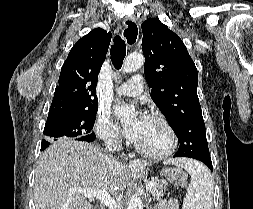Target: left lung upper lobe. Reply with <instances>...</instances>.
Segmentation results:
<instances>
[{"label":"left lung upper lobe","instance_id":"left-lung-upper-lobe-1","mask_svg":"<svg viewBox=\"0 0 253 209\" xmlns=\"http://www.w3.org/2000/svg\"><path fill=\"white\" fill-rule=\"evenodd\" d=\"M144 73L151 97L179 139L178 157L210 156L197 95L198 72L180 37L160 20L142 24Z\"/></svg>","mask_w":253,"mask_h":209}]
</instances>
